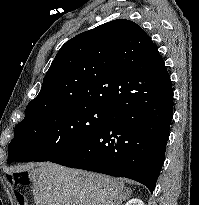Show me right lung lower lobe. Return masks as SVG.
<instances>
[{"mask_svg": "<svg viewBox=\"0 0 199 205\" xmlns=\"http://www.w3.org/2000/svg\"><path fill=\"white\" fill-rule=\"evenodd\" d=\"M172 117L173 89L165 73L155 89L113 108L101 131L51 162L130 178L152 193L164 163Z\"/></svg>", "mask_w": 199, "mask_h": 205, "instance_id": "98d812e1", "label": "right lung lower lobe"}]
</instances>
